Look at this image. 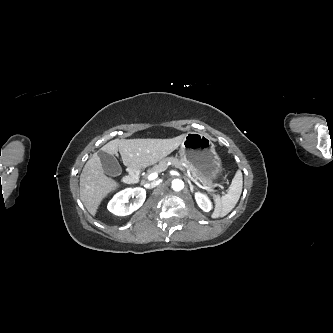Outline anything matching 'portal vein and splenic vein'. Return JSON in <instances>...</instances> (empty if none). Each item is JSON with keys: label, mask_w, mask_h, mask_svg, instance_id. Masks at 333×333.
Here are the masks:
<instances>
[{"label": "portal vein and splenic vein", "mask_w": 333, "mask_h": 333, "mask_svg": "<svg viewBox=\"0 0 333 333\" xmlns=\"http://www.w3.org/2000/svg\"><path fill=\"white\" fill-rule=\"evenodd\" d=\"M158 177V173L157 172H153V173H151V174H149L148 176H147V179L149 180V181H153V180H155L156 178ZM188 177L198 186V187H200V188H202V189H205V190H207V191H210V189L208 188V187H205V186H202L197 180H195L190 174H188Z\"/></svg>", "instance_id": "18ae733b"}]
</instances>
